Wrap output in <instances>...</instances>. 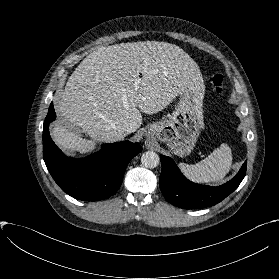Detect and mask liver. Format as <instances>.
<instances>
[{"label": "liver", "mask_w": 279, "mask_h": 279, "mask_svg": "<svg viewBox=\"0 0 279 279\" xmlns=\"http://www.w3.org/2000/svg\"><path fill=\"white\" fill-rule=\"evenodd\" d=\"M204 88L197 63L175 44L139 41L101 47L78 65L56 98L55 110L66 123L55 124L51 135L65 152L89 153L98 142L122 140L123 127L135 132L142 113L161 111L182 92L192 91L201 108ZM78 128L90 139L82 138Z\"/></svg>", "instance_id": "obj_1"}]
</instances>
